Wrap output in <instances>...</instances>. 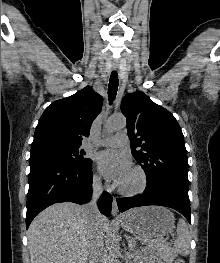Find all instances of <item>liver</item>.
I'll list each match as a JSON object with an SVG mask.
<instances>
[{
    "label": "liver",
    "instance_id": "1",
    "mask_svg": "<svg viewBox=\"0 0 220 263\" xmlns=\"http://www.w3.org/2000/svg\"><path fill=\"white\" fill-rule=\"evenodd\" d=\"M104 232L107 218L96 221ZM91 220L85 206L57 203L43 210L28 229L31 263H87Z\"/></svg>",
    "mask_w": 220,
    "mask_h": 263
}]
</instances>
